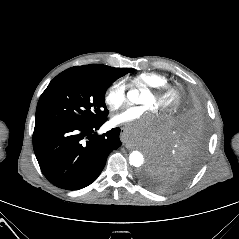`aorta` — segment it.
<instances>
[{"label":"aorta","mask_w":239,"mask_h":239,"mask_svg":"<svg viewBox=\"0 0 239 239\" xmlns=\"http://www.w3.org/2000/svg\"><path fill=\"white\" fill-rule=\"evenodd\" d=\"M128 99L135 103L139 97V91L137 89L131 90L127 93ZM144 155L139 151H132L129 155V163L134 167H140L144 164Z\"/></svg>","instance_id":"762f6f07"}]
</instances>
